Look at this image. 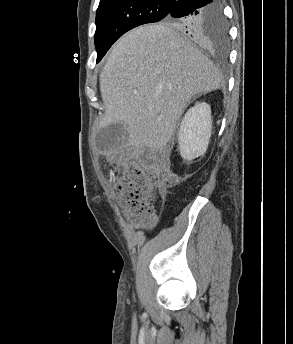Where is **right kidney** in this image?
Returning <instances> with one entry per match:
<instances>
[{"instance_id":"ca27d5eb","label":"right kidney","mask_w":293,"mask_h":344,"mask_svg":"<svg viewBox=\"0 0 293 344\" xmlns=\"http://www.w3.org/2000/svg\"><path fill=\"white\" fill-rule=\"evenodd\" d=\"M212 120L210 105L198 102L183 117L178 131V144L183 159L191 161L202 156L211 137Z\"/></svg>"}]
</instances>
